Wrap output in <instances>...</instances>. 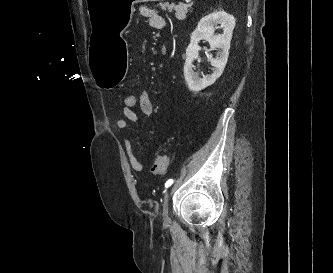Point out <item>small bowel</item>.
I'll list each match as a JSON object with an SVG mask.
<instances>
[{"label": "small bowel", "instance_id": "1", "mask_svg": "<svg viewBox=\"0 0 333 273\" xmlns=\"http://www.w3.org/2000/svg\"><path fill=\"white\" fill-rule=\"evenodd\" d=\"M142 13L149 18L150 26L153 29L162 30L167 26V22L165 21V19L158 15L156 11L153 10L151 7L144 6L142 8ZM136 107L140 110L141 115L134 112L133 109L122 108V115L125 119H119L116 121V127L118 129H127L129 127L128 121L138 124L144 123L153 115L154 109L149 91L147 89L143 88L140 90L136 100ZM125 149L129 164L132 169L136 172H141L143 170V165L138 160L130 139L125 140Z\"/></svg>", "mask_w": 333, "mask_h": 273}]
</instances>
